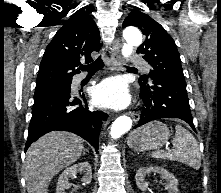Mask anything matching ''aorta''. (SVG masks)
<instances>
[{"instance_id": "762f6f07", "label": "aorta", "mask_w": 221, "mask_h": 193, "mask_svg": "<svg viewBox=\"0 0 221 193\" xmlns=\"http://www.w3.org/2000/svg\"><path fill=\"white\" fill-rule=\"evenodd\" d=\"M123 36L125 43L122 47V55L127 58L132 54L133 48L142 43V35L137 28L128 27L124 30ZM131 127L132 119L128 116H120L113 122L111 126V137L113 139H117L124 133L128 132Z\"/></svg>"}]
</instances>
